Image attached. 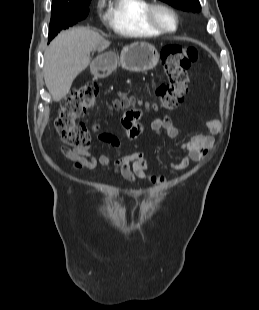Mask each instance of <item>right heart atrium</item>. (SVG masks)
I'll use <instances>...</instances> for the list:
<instances>
[{
  "label": "right heart atrium",
  "instance_id": "d8ad5b80",
  "mask_svg": "<svg viewBox=\"0 0 259 310\" xmlns=\"http://www.w3.org/2000/svg\"><path fill=\"white\" fill-rule=\"evenodd\" d=\"M102 1L103 0H98V3H97L98 10H100L102 8Z\"/></svg>",
  "mask_w": 259,
  "mask_h": 310
}]
</instances>
